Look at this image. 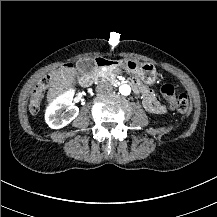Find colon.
<instances>
[{"label":"colon","mask_w":217,"mask_h":217,"mask_svg":"<svg viewBox=\"0 0 217 217\" xmlns=\"http://www.w3.org/2000/svg\"><path fill=\"white\" fill-rule=\"evenodd\" d=\"M51 85V79L48 76L41 77L39 87L35 88L29 95V112L33 115L40 110V101L42 97V89H47ZM163 96L172 99V107L180 114L185 115L190 109V98L187 94H176L175 86L172 83H165L161 86Z\"/></svg>","instance_id":"colon-1"}]
</instances>
